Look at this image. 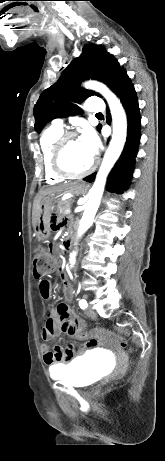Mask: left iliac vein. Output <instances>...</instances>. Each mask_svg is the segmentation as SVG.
Wrapping results in <instances>:
<instances>
[{
	"label": "left iliac vein",
	"instance_id": "4c4485c4",
	"mask_svg": "<svg viewBox=\"0 0 165 461\" xmlns=\"http://www.w3.org/2000/svg\"><path fill=\"white\" fill-rule=\"evenodd\" d=\"M86 315L88 317H90L91 319H96L97 318V314L96 312L92 309V308H87L86 311H85Z\"/></svg>",
	"mask_w": 165,
	"mask_h": 461
}]
</instances>
